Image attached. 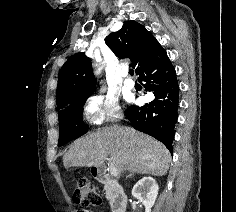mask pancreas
Listing matches in <instances>:
<instances>
[{
    "label": "pancreas",
    "instance_id": "cf45deb5",
    "mask_svg": "<svg viewBox=\"0 0 236 212\" xmlns=\"http://www.w3.org/2000/svg\"><path fill=\"white\" fill-rule=\"evenodd\" d=\"M105 191H106V198L109 199L110 198V192L107 188H105Z\"/></svg>",
    "mask_w": 236,
    "mask_h": 212
}]
</instances>
